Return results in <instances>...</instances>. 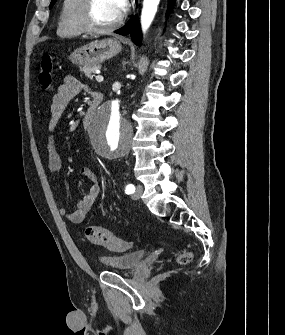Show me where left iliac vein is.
<instances>
[{
  "mask_svg": "<svg viewBox=\"0 0 285 335\" xmlns=\"http://www.w3.org/2000/svg\"><path fill=\"white\" fill-rule=\"evenodd\" d=\"M142 193H143V187H142V185H137L136 190H135L134 194L132 195V198L134 200H137V199L140 198V196H141Z\"/></svg>",
  "mask_w": 285,
  "mask_h": 335,
  "instance_id": "1",
  "label": "left iliac vein"
}]
</instances>
